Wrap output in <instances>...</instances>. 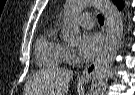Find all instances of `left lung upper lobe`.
Wrapping results in <instances>:
<instances>
[{
	"instance_id": "obj_1",
	"label": "left lung upper lobe",
	"mask_w": 135,
	"mask_h": 95,
	"mask_svg": "<svg viewBox=\"0 0 135 95\" xmlns=\"http://www.w3.org/2000/svg\"><path fill=\"white\" fill-rule=\"evenodd\" d=\"M118 6V8L122 7V0H114Z\"/></svg>"
}]
</instances>
